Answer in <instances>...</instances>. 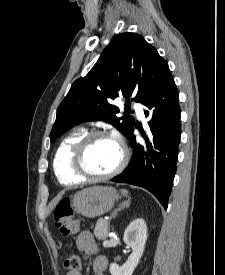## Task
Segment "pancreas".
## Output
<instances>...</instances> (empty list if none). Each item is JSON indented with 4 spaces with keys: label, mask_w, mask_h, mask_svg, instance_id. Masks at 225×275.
I'll return each mask as SVG.
<instances>
[{
    "label": "pancreas",
    "mask_w": 225,
    "mask_h": 275,
    "mask_svg": "<svg viewBox=\"0 0 225 275\" xmlns=\"http://www.w3.org/2000/svg\"><path fill=\"white\" fill-rule=\"evenodd\" d=\"M109 223L104 219H99L94 229V235L98 240H105L108 235Z\"/></svg>",
    "instance_id": "cf45deb5"
}]
</instances>
